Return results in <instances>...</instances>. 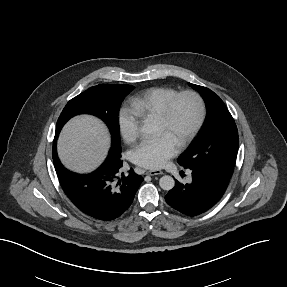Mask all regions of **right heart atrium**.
Returning a JSON list of instances; mask_svg holds the SVG:
<instances>
[{"instance_id":"1","label":"right heart atrium","mask_w":287,"mask_h":287,"mask_svg":"<svg viewBox=\"0 0 287 287\" xmlns=\"http://www.w3.org/2000/svg\"><path fill=\"white\" fill-rule=\"evenodd\" d=\"M118 123L121 136L126 142H134L139 137L140 121L130 108L123 107L120 109Z\"/></svg>"}]
</instances>
